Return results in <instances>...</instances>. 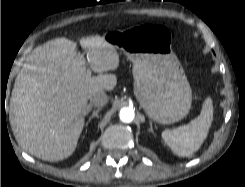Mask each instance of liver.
<instances>
[{
  "instance_id": "obj_1",
  "label": "liver",
  "mask_w": 245,
  "mask_h": 187,
  "mask_svg": "<svg viewBox=\"0 0 245 187\" xmlns=\"http://www.w3.org/2000/svg\"><path fill=\"white\" fill-rule=\"evenodd\" d=\"M90 68L77 52V43L55 38L36 47L18 73L10 98L9 120L18 144L46 161L73 154L90 111V96L111 91L115 74H102L119 66L117 48L101 36L79 40Z\"/></svg>"
}]
</instances>
